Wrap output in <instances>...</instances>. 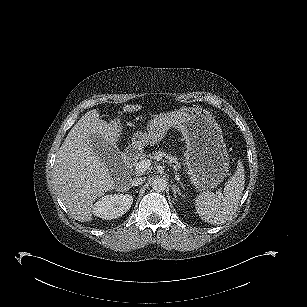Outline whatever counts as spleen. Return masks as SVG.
<instances>
[{
	"instance_id": "1",
	"label": "spleen",
	"mask_w": 307,
	"mask_h": 307,
	"mask_svg": "<svg viewBox=\"0 0 307 307\" xmlns=\"http://www.w3.org/2000/svg\"><path fill=\"white\" fill-rule=\"evenodd\" d=\"M245 184L242 162L238 161L237 170L226 182L224 193L202 192L196 199V213L213 225H221L229 220L238 208Z\"/></svg>"
}]
</instances>
